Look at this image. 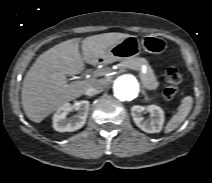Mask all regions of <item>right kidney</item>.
I'll return each mask as SVG.
<instances>
[{
	"instance_id": "right-kidney-1",
	"label": "right kidney",
	"mask_w": 212,
	"mask_h": 183,
	"mask_svg": "<svg viewBox=\"0 0 212 183\" xmlns=\"http://www.w3.org/2000/svg\"><path fill=\"white\" fill-rule=\"evenodd\" d=\"M78 111L77 115L67 118L72 110ZM89 110V101L82 100L74 105L65 103L53 115V128L58 132H72L82 128L86 122Z\"/></svg>"
}]
</instances>
